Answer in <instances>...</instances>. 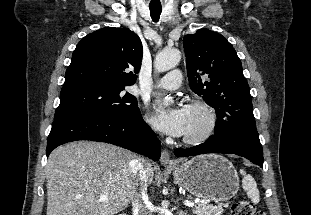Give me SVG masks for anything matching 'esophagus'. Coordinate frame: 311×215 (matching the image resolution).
<instances>
[{"instance_id":"1","label":"esophagus","mask_w":311,"mask_h":215,"mask_svg":"<svg viewBox=\"0 0 311 215\" xmlns=\"http://www.w3.org/2000/svg\"><path fill=\"white\" fill-rule=\"evenodd\" d=\"M160 162L164 166H173L175 162L171 159L168 150L164 149L161 153Z\"/></svg>"}]
</instances>
